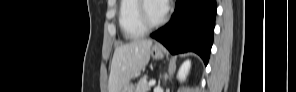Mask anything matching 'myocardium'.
<instances>
[{"label":"myocardium","mask_w":296,"mask_h":92,"mask_svg":"<svg viewBox=\"0 0 296 92\" xmlns=\"http://www.w3.org/2000/svg\"><path fill=\"white\" fill-rule=\"evenodd\" d=\"M149 1H139L137 8V19L140 25L145 30H151L160 27L165 22V16H163L157 22H151L147 17L146 7Z\"/></svg>","instance_id":"1"}]
</instances>
